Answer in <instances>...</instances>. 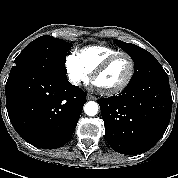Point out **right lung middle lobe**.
Returning <instances> with one entry per match:
<instances>
[{
  "instance_id": "obj_1",
  "label": "right lung middle lobe",
  "mask_w": 178,
  "mask_h": 178,
  "mask_svg": "<svg viewBox=\"0 0 178 178\" xmlns=\"http://www.w3.org/2000/svg\"><path fill=\"white\" fill-rule=\"evenodd\" d=\"M71 43L49 35L41 36L29 43L14 60L11 70L19 67L57 66L62 73L65 68L66 55Z\"/></svg>"
}]
</instances>
